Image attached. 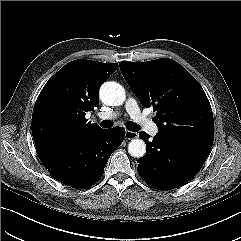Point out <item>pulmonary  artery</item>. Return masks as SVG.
<instances>
[{
	"label": "pulmonary artery",
	"mask_w": 241,
	"mask_h": 241,
	"mask_svg": "<svg viewBox=\"0 0 241 241\" xmlns=\"http://www.w3.org/2000/svg\"><path fill=\"white\" fill-rule=\"evenodd\" d=\"M125 109L130 117L146 132L151 135L158 133V126L149 120L140 110L137 101L134 98H128L125 103ZM117 113H101V119H111L117 117Z\"/></svg>",
	"instance_id": "e3ab8cb5"
}]
</instances>
